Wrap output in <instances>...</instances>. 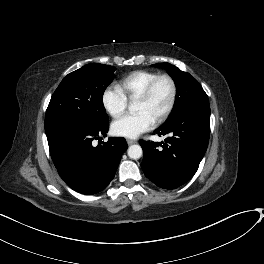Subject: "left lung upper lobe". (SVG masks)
I'll return each mask as SVG.
<instances>
[{
	"label": "left lung upper lobe",
	"mask_w": 264,
	"mask_h": 264,
	"mask_svg": "<svg viewBox=\"0 0 264 264\" xmlns=\"http://www.w3.org/2000/svg\"><path fill=\"white\" fill-rule=\"evenodd\" d=\"M155 66L167 69L168 73L173 78L177 89L173 112L165 123L176 119L185 111L193 107L209 106L207 94L198 81L189 73L183 72L176 66L167 62L155 64Z\"/></svg>",
	"instance_id": "5c2ea615"
}]
</instances>
